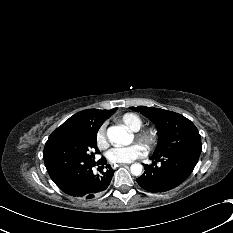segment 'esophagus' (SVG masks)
I'll list each match as a JSON object with an SVG mask.
<instances>
[{"mask_svg":"<svg viewBox=\"0 0 233 233\" xmlns=\"http://www.w3.org/2000/svg\"><path fill=\"white\" fill-rule=\"evenodd\" d=\"M125 165H127V164H125V163H120L119 164V166H125Z\"/></svg>","mask_w":233,"mask_h":233,"instance_id":"34e87169","label":"esophagus"}]
</instances>
